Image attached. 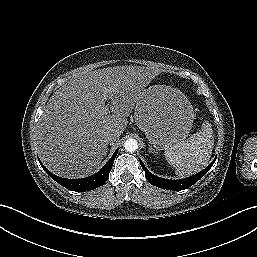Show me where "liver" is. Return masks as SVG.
Here are the masks:
<instances>
[{
	"mask_svg": "<svg viewBox=\"0 0 257 257\" xmlns=\"http://www.w3.org/2000/svg\"><path fill=\"white\" fill-rule=\"evenodd\" d=\"M158 74L154 67L116 66L69 80L50 97L41 116L37 144L43 164L66 178L92 173L108 152L104 132L120 137L127 117Z\"/></svg>",
	"mask_w": 257,
	"mask_h": 257,
	"instance_id": "liver-1",
	"label": "liver"
}]
</instances>
